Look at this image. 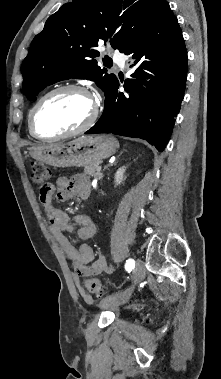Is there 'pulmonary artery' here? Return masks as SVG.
I'll return each mask as SVG.
<instances>
[{"mask_svg":"<svg viewBox=\"0 0 221 379\" xmlns=\"http://www.w3.org/2000/svg\"><path fill=\"white\" fill-rule=\"evenodd\" d=\"M113 60L119 65V67L124 68L126 63V58L123 54L118 52L113 54Z\"/></svg>","mask_w":221,"mask_h":379,"instance_id":"e3ab8cb5","label":"pulmonary artery"}]
</instances>
